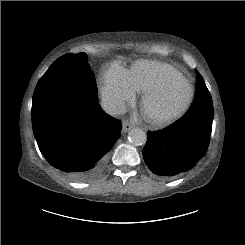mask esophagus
I'll return each mask as SVG.
<instances>
[{
    "label": "esophagus",
    "mask_w": 245,
    "mask_h": 245,
    "mask_svg": "<svg viewBox=\"0 0 245 245\" xmlns=\"http://www.w3.org/2000/svg\"><path fill=\"white\" fill-rule=\"evenodd\" d=\"M132 127H133V125L130 124L129 122H127V121L122 122V132L123 133L128 132Z\"/></svg>",
    "instance_id": "obj_1"
}]
</instances>
